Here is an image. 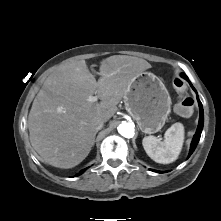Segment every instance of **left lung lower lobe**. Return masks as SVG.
I'll list each match as a JSON object with an SVG mask.
<instances>
[{
	"instance_id": "0a47b994",
	"label": "left lung lower lobe",
	"mask_w": 221,
	"mask_h": 221,
	"mask_svg": "<svg viewBox=\"0 0 221 221\" xmlns=\"http://www.w3.org/2000/svg\"><path fill=\"white\" fill-rule=\"evenodd\" d=\"M182 77L184 79H186L189 83V79L188 77L185 75V74H182ZM191 87L193 88V90L196 92V90L194 89L193 85L190 83ZM197 100H198V104H199V108H200V117H199V124H198V128L196 130V133L193 137V140H192V143H191V148H190V152H189V155L188 157H190V155L193 153V151L195 150L199 140H200V136H201V132H202V129H203V121H204V115H203V106H202V103L201 101L199 100L198 96H197ZM154 172H158V173H162L161 171H156V170H152Z\"/></svg>"
}]
</instances>
